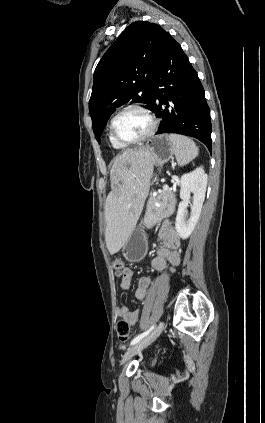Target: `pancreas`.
Instances as JSON below:
<instances>
[{"instance_id":"1","label":"pancreas","mask_w":265,"mask_h":423,"mask_svg":"<svg viewBox=\"0 0 265 423\" xmlns=\"http://www.w3.org/2000/svg\"><path fill=\"white\" fill-rule=\"evenodd\" d=\"M176 203V195L170 189L163 190L155 197H150L146 206L144 225L149 228L171 216L175 211Z\"/></svg>"}]
</instances>
